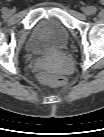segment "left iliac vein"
<instances>
[{"instance_id": "left-iliac-vein-1", "label": "left iliac vein", "mask_w": 104, "mask_h": 137, "mask_svg": "<svg viewBox=\"0 0 104 137\" xmlns=\"http://www.w3.org/2000/svg\"><path fill=\"white\" fill-rule=\"evenodd\" d=\"M91 9H92V7L87 6V7H83L82 11H83L84 14L90 15V14H92Z\"/></svg>"}]
</instances>
